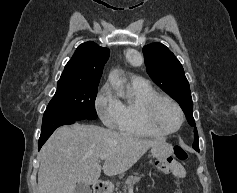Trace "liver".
Returning <instances> with one entry per match:
<instances>
[{
	"instance_id": "1",
	"label": "liver",
	"mask_w": 237,
	"mask_h": 193,
	"mask_svg": "<svg viewBox=\"0 0 237 193\" xmlns=\"http://www.w3.org/2000/svg\"><path fill=\"white\" fill-rule=\"evenodd\" d=\"M162 140H148L96 125L58 128L40 152L38 193H73L77 183H96L100 156L103 170L113 176L129 170L149 148Z\"/></svg>"
}]
</instances>
